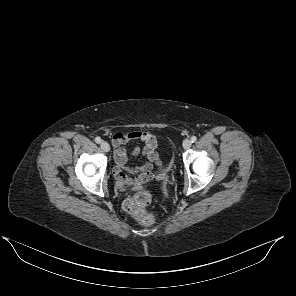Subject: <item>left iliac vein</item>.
<instances>
[{
    "instance_id": "obj_1",
    "label": "left iliac vein",
    "mask_w": 296,
    "mask_h": 296,
    "mask_svg": "<svg viewBox=\"0 0 296 296\" xmlns=\"http://www.w3.org/2000/svg\"><path fill=\"white\" fill-rule=\"evenodd\" d=\"M192 141L190 139H185L183 141V148L184 149H189L191 147Z\"/></svg>"
}]
</instances>
